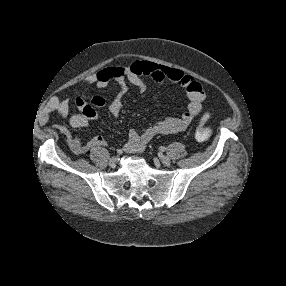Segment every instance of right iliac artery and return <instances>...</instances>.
<instances>
[{"label": "right iliac artery", "mask_w": 286, "mask_h": 286, "mask_svg": "<svg viewBox=\"0 0 286 286\" xmlns=\"http://www.w3.org/2000/svg\"><path fill=\"white\" fill-rule=\"evenodd\" d=\"M116 152L118 153V155H123V150H121L120 148H117Z\"/></svg>", "instance_id": "82829eb1"}]
</instances>
